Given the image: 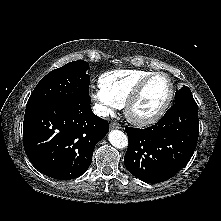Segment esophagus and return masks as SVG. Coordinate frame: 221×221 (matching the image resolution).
Wrapping results in <instances>:
<instances>
[{
  "label": "esophagus",
  "mask_w": 221,
  "mask_h": 221,
  "mask_svg": "<svg viewBox=\"0 0 221 221\" xmlns=\"http://www.w3.org/2000/svg\"><path fill=\"white\" fill-rule=\"evenodd\" d=\"M110 127L113 128V129L114 128L115 129H120L121 125L119 123H117V122H111Z\"/></svg>",
  "instance_id": "34e87169"
}]
</instances>
